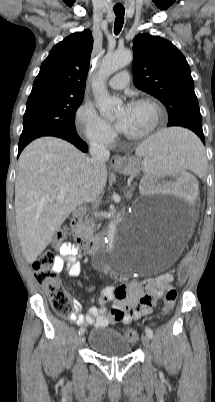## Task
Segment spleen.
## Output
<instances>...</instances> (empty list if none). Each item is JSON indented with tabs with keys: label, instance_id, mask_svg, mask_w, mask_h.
Wrapping results in <instances>:
<instances>
[{
	"label": "spleen",
	"instance_id": "obj_1",
	"mask_svg": "<svg viewBox=\"0 0 215 402\" xmlns=\"http://www.w3.org/2000/svg\"><path fill=\"white\" fill-rule=\"evenodd\" d=\"M137 153L144 156L142 170L201 174L205 163L201 139L192 128H167L143 142Z\"/></svg>",
	"mask_w": 215,
	"mask_h": 402
}]
</instances>
